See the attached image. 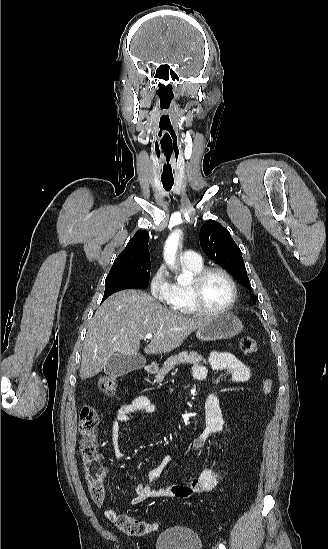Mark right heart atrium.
<instances>
[{
    "label": "right heart atrium",
    "instance_id": "1",
    "mask_svg": "<svg viewBox=\"0 0 328 549\" xmlns=\"http://www.w3.org/2000/svg\"><path fill=\"white\" fill-rule=\"evenodd\" d=\"M168 272L163 263L155 266L148 281V303H163L169 291Z\"/></svg>",
    "mask_w": 328,
    "mask_h": 549
}]
</instances>
